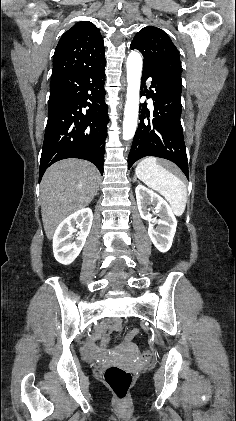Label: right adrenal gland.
<instances>
[{
	"instance_id": "right-adrenal-gland-1",
	"label": "right adrenal gland",
	"mask_w": 236,
	"mask_h": 421,
	"mask_svg": "<svg viewBox=\"0 0 236 421\" xmlns=\"http://www.w3.org/2000/svg\"><path fill=\"white\" fill-rule=\"evenodd\" d=\"M98 190H99V184H97L96 194H99Z\"/></svg>"
}]
</instances>
